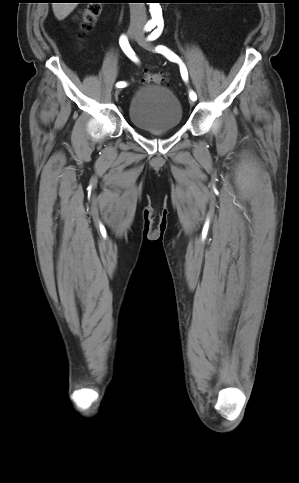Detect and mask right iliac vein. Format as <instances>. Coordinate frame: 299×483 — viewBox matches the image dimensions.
Segmentation results:
<instances>
[{"instance_id":"right-iliac-vein-1","label":"right iliac vein","mask_w":299,"mask_h":483,"mask_svg":"<svg viewBox=\"0 0 299 483\" xmlns=\"http://www.w3.org/2000/svg\"><path fill=\"white\" fill-rule=\"evenodd\" d=\"M128 35H129L130 39L137 40V38L139 37L140 33L137 30L129 29ZM119 94H120V90H116L115 91V99L116 100L118 99Z\"/></svg>"}]
</instances>
